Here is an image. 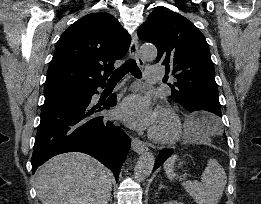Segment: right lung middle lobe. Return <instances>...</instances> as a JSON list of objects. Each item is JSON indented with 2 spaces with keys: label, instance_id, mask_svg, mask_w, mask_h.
<instances>
[{
  "label": "right lung middle lobe",
  "instance_id": "1",
  "mask_svg": "<svg viewBox=\"0 0 261 204\" xmlns=\"http://www.w3.org/2000/svg\"><path fill=\"white\" fill-rule=\"evenodd\" d=\"M73 92H64V93H56V94H49V95H45V100H50V99H54L57 97H63L66 96L68 94H71Z\"/></svg>",
  "mask_w": 261,
  "mask_h": 204
}]
</instances>
